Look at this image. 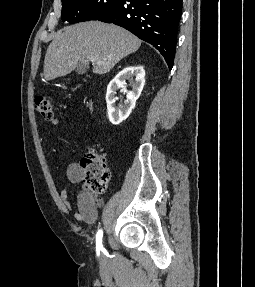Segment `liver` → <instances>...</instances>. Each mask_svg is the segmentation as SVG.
<instances>
[{
    "mask_svg": "<svg viewBox=\"0 0 255 287\" xmlns=\"http://www.w3.org/2000/svg\"><path fill=\"white\" fill-rule=\"evenodd\" d=\"M140 46L141 40L114 24L82 22L67 26L55 34L45 54L43 76L45 80L67 76L80 64L88 66L89 58H98L94 74H107Z\"/></svg>",
    "mask_w": 255,
    "mask_h": 287,
    "instance_id": "6515ba94",
    "label": "liver"
}]
</instances>
